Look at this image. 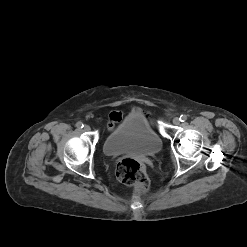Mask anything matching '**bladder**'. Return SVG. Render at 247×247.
I'll return each mask as SVG.
<instances>
[{"instance_id": "bladder-1", "label": "bladder", "mask_w": 247, "mask_h": 247, "mask_svg": "<svg viewBox=\"0 0 247 247\" xmlns=\"http://www.w3.org/2000/svg\"><path fill=\"white\" fill-rule=\"evenodd\" d=\"M161 148L160 137L140 111L129 113L103 142L104 153L112 157L122 154L153 156Z\"/></svg>"}]
</instances>
